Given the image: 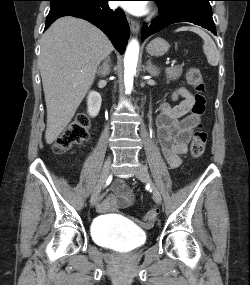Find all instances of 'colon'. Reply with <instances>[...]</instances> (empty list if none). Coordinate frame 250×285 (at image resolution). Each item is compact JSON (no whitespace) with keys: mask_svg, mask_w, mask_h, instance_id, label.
I'll return each instance as SVG.
<instances>
[{"mask_svg":"<svg viewBox=\"0 0 250 285\" xmlns=\"http://www.w3.org/2000/svg\"><path fill=\"white\" fill-rule=\"evenodd\" d=\"M187 82L194 88V104L192 106V115L200 118L206 109V86L199 69L190 67L186 71ZM196 131L190 144V152L194 158L203 155L206 147L207 135L202 130L201 125L197 123ZM90 134V120L85 113H79L75 119L66 127L62 134L55 140L53 149L56 153L61 154L70 150L73 146L81 144L88 140ZM157 212L149 210L144 215L147 223L156 220Z\"/></svg>","mask_w":250,"mask_h":285,"instance_id":"colon-1","label":"colon"}]
</instances>
